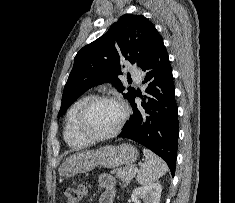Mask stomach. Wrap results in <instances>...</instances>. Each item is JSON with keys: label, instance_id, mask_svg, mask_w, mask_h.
Instances as JSON below:
<instances>
[{"label": "stomach", "instance_id": "0dacf381", "mask_svg": "<svg viewBox=\"0 0 235 203\" xmlns=\"http://www.w3.org/2000/svg\"><path fill=\"white\" fill-rule=\"evenodd\" d=\"M138 157V150L127 143L119 146L107 145L97 150H85L66 158L59 168L63 177L86 173L97 166L114 168L131 165Z\"/></svg>", "mask_w": 235, "mask_h": 203}]
</instances>
